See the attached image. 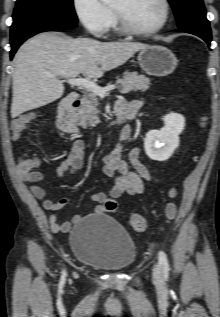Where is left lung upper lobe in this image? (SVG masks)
<instances>
[{
  "label": "left lung upper lobe",
  "mask_w": 220,
  "mask_h": 317,
  "mask_svg": "<svg viewBox=\"0 0 220 317\" xmlns=\"http://www.w3.org/2000/svg\"><path fill=\"white\" fill-rule=\"evenodd\" d=\"M175 12L178 27L189 23L209 25L202 0H168Z\"/></svg>",
  "instance_id": "5c2ea615"
}]
</instances>
